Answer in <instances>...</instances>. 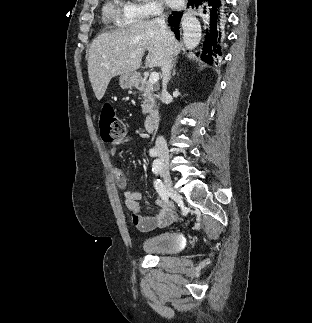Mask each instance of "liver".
Segmentation results:
<instances>
[{
  "instance_id": "obj_1",
  "label": "liver",
  "mask_w": 312,
  "mask_h": 323,
  "mask_svg": "<svg viewBox=\"0 0 312 323\" xmlns=\"http://www.w3.org/2000/svg\"><path fill=\"white\" fill-rule=\"evenodd\" d=\"M148 50L145 66L156 68L169 50L174 58L181 44H168L161 28L154 22H137L128 28L105 32L93 40L89 48L88 74L97 100H102L111 78L139 70L144 52ZM136 54V58H131Z\"/></svg>"
}]
</instances>
